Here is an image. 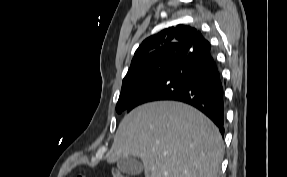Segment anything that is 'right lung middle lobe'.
Returning a JSON list of instances; mask_svg holds the SVG:
<instances>
[{
	"instance_id": "obj_1",
	"label": "right lung middle lobe",
	"mask_w": 287,
	"mask_h": 177,
	"mask_svg": "<svg viewBox=\"0 0 287 177\" xmlns=\"http://www.w3.org/2000/svg\"><path fill=\"white\" fill-rule=\"evenodd\" d=\"M180 61L177 56H169L123 80L116 111L126 110L150 84Z\"/></svg>"
}]
</instances>
